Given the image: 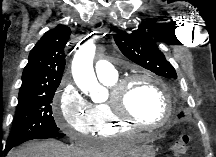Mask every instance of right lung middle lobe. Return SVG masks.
Masks as SVG:
<instances>
[{
    "label": "right lung middle lobe",
    "mask_w": 216,
    "mask_h": 157,
    "mask_svg": "<svg viewBox=\"0 0 216 157\" xmlns=\"http://www.w3.org/2000/svg\"><path fill=\"white\" fill-rule=\"evenodd\" d=\"M55 91H38L18 97L16 115L6 146L13 147L42 135L59 132L51 106Z\"/></svg>",
    "instance_id": "right-lung-middle-lobe-1"
}]
</instances>
